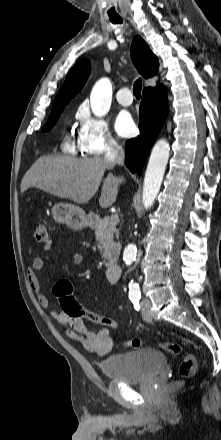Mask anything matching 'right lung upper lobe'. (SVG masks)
<instances>
[{
    "mask_svg": "<svg viewBox=\"0 0 221 440\" xmlns=\"http://www.w3.org/2000/svg\"><path fill=\"white\" fill-rule=\"evenodd\" d=\"M131 57L139 73L144 78H149L158 72L159 63L146 42L135 36L131 46ZM91 71L90 61L82 59L78 61L69 72L64 84L60 88L53 108L66 106L69 101L82 89ZM147 89V88H145Z\"/></svg>",
    "mask_w": 221,
    "mask_h": 440,
    "instance_id": "1",
    "label": "right lung upper lobe"
}]
</instances>
